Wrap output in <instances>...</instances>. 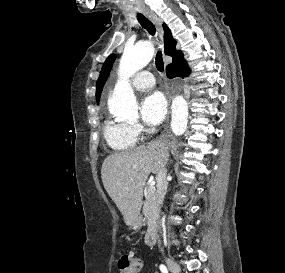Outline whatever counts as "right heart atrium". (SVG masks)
I'll list each match as a JSON object with an SVG mask.
<instances>
[{
  "label": "right heart atrium",
  "mask_w": 285,
  "mask_h": 273,
  "mask_svg": "<svg viewBox=\"0 0 285 273\" xmlns=\"http://www.w3.org/2000/svg\"><path fill=\"white\" fill-rule=\"evenodd\" d=\"M131 128L137 135L142 131V126L140 124L131 125Z\"/></svg>",
  "instance_id": "obj_1"
}]
</instances>
